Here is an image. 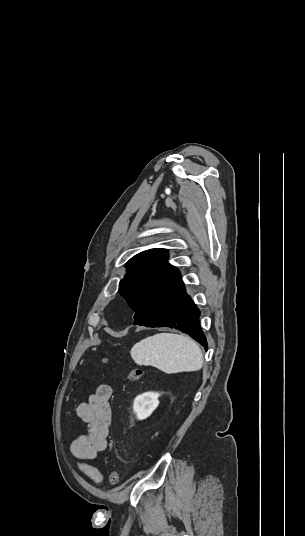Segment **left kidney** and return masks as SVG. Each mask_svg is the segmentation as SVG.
<instances>
[{"label": "left kidney", "instance_id": "1", "mask_svg": "<svg viewBox=\"0 0 305 536\" xmlns=\"http://www.w3.org/2000/svg\"><path fill=\"white\" fill-rule=\"evenodd\" d=\"M159 396L160 394L157 392H145V394L135 398L133 410L136 412L138 420H145L151 416L152 412L159 406Z\"/></svg>", "mask_w": 305, "mask_h": 536}]
</instances>
